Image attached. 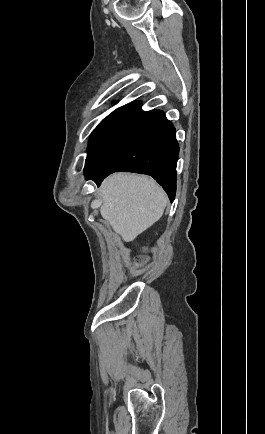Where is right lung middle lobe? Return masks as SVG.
<instances>
[{"label":"right lung middle lobe","mask_w":265,"mask_h":434,"mask_svg":"<svg viewBox=\"0 0 265 434\" xmlns=\"http://www.w3.org/2000/svg\"><path fill=\"white\" fill-rule=\"evenodd\" d=\"M107 118V117H106ZM106 118L104 120H102L99 125L93 130V132L90 135V139H89V146L91 147L92 143L94 142V140L96 139V137L98 136L101 127L103 125V123L105 122Z\"/></svg>","instance_id":"obj_1"}]
</instances>
